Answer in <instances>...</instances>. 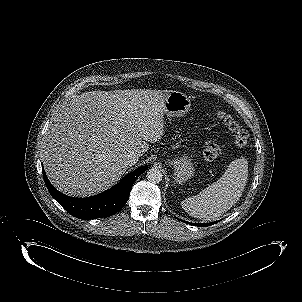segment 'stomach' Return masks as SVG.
Instances as JSON below:
<instances>
[{
    "label": "stomach",
    "instance_id": "stomach-1",
    "mask_svg": "<svg viewBox=\"0 0 302 302\" xmlns=\"http://www.w3.org/2000/svg\"><path fill=\"white\" fill-rule=\"evenodd\" d=\"M191 107L189 96L180 91H171L167 96L164 105V113L171 117L184 116ZM168 163L173 167V180L178 184H183L191 179L195 174V168L192 162V155H183Z\"/></svg>",
    "mask_w": 302,
    "mask_h": 302
}]
</instances>
